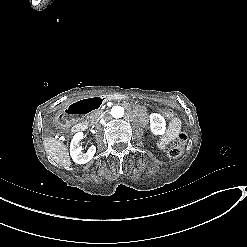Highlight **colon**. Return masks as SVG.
<instances>
[{"mask_svg":"<svg viewBox=\"0 0 247 247\" xmlns=\"http://www.w3.org/2000/svg\"><path fill=\"white\" fill-rule=\"evenodd\" d=\"M159 111H161L164 118L169 119V121L174 122L178 120L179 115L176 112H172L171 109L166 108L162 110V108H159ZM188 140L187 132L183 131L177 140L168 148L167 155L170 159H176L183 151L186 143Z\"/></svg>","mask_w":247,"mask_h":247,"instance_id":"1","label":"colon"}]
</instances>
